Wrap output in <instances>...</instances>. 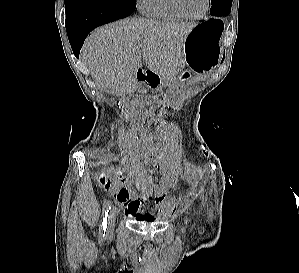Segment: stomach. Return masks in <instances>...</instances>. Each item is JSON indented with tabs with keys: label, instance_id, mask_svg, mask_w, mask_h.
Listing matches in <instances>:
<instances>
[{
	"label": "stomach",
	"instance_id": "stomach-1",
	"mask_svg": "<svg viewBox=\"0 0 299 273\" xmlns=\"http://www.w3.org/2000/svg\"><path fill=\"white\" fill-rule=\"evenodd\" d=\"M223 30L224 24L220 19L203 21L193 28L185 39L184 64L199 73L212 71L221 56ZM178 70L183 74L177 78V82H185L192 75L186 72V67H179Z\"/></svg>",
	"mask_w": 299,
	"mask_h": 273
}]
</instances>
